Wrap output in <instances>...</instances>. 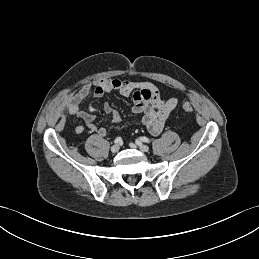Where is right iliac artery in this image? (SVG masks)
Listing matches in <instances>:
<instances>
[{
	"instance_id": "1",
	"label": "right iliac artery",
	"mask_w": 259,
	"mask_h": 259,
	"mask_svg": "<svg viewBox=\"0 0 259 259\" xmlns=\"http://www.w3.org/2000/svg\"><path fill=\"white\" fill-rule=\"evenodd\" d=\"M114 142L116 144H120V143H122V138L121 137H117Z\"/></svg>"
}]
</instances>
